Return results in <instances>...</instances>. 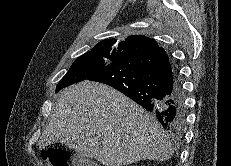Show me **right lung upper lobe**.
Masks as SVG:
<instances>
[{
    "label": "right lung upper lobe",
    "mask_w": 231,
    "mask_h": 166,
    "mask_svg": "<svg viewBox=\"0 0 231 166\" xmlns=\"http://www.w3.org/2000/svg\"><path fill=\"white\" fill-rule=\"evenodd\" d=\"M160 48L151 38L141 35L128 36L124 41L105 39L99 42L91 51L116 56L118 60L130 56L141 55Z\"/></svg>",
    "instance_id": "obj_1"
}]
</instances>
